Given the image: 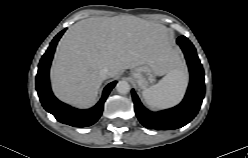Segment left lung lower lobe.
<instances>
[{
	"label": "left lung lower lobe",
	"mask_w": 248,
	"mask_h": 158,
	"mask_svg": "<svg viewBox=\"0 0 248 158\" xmlns=\"http://www.w3.org/2000/svg\"><path fill=\"white\" fill-rule=\"evenodd\" d=\"M177 43L184 52L189 67L190 83L187 93L178 106L160 112H151L142 105L132 90L136 115L140 123L146 128L156 130L180 128L189 123L200 109L205 93L202 65L196 54V49L185 36H180Z\"/></svg>",
	"instance_id": "0a47b994"
}]
</instances>
